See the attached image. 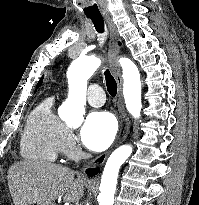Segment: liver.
I'll list each match as a JSON object with an SVG mask.
<instances>
[{
    "instance_id": "1",
    "label": "liver",
    "mask_w": 199,
    "mask_h": 205,
    "mask_svg": "<svg viewBox=\"0 0 199 205\" xmlns=\"http://www.w3.org/2000/svg\"><path fill=\"white\" fill-rule=\"evenodd\" d=\"M8 185L15 205H54L58 198L77 202L84 195V181L70 168L47 162L17 161L8 171Z\"/></svg>"
}]
</instances>
